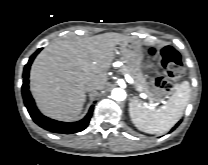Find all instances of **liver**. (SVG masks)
Returning a JSON list of instances; mask_svg holds the SVG:
<instances>
[{
	"mask_svg": "<svg viewBox=\"0 0 208 165\" xmlns=\"http://www.w3.org/2000/svg\"><path fill=\"white\" fill-rule=\"evenodd\" d=\"M130 39L105 33L79 40H58L45 47L30 71V90L47 116L73 120L82 111L87 87L107 85L114 48Z\"/></svg>",
	"mask_w": 208,
	"mask_h": 165,
	"instance_id": "1",
	"label": "liver"
}]
</instances>
